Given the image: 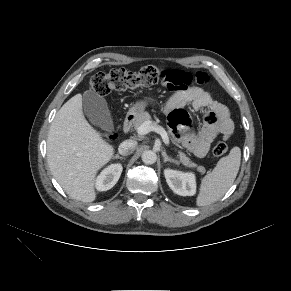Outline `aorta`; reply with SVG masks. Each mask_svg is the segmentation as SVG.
<instances>
[{
	"label": "aorta",
	"mask_w": 291,
	"mask_h": 291,
	"mask_svg": "<svg viewBox=\"0 0 291 291\" xmlns=\"http://www.w3.org/2000/svg\"><path fill=\"white\" fill-rule=\"evenodd\" d=\"M157 160V155L154 151L146 150L142 153V161L145 164H154Z\"/></svg>",
	"instance_id": "obj_1"
}]
</instances>
